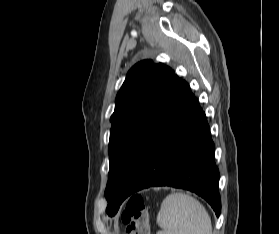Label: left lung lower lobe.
Masks as SVG:
<instances>
[{
	"label": "left lung lower lobe",
	"instance_id": "0a47b994",
	"mask_svg": "<svg viewBox=\"0 0 279 234\" xmlns=\"http://www.w3.org/2000/svg\"><path fill=\"white\" fill-rule=\"evenodd\" d=\"M209 125L188 84L173 77L138 148L120 199L151 186L187 189L221 211Z\"/></svg>",
	"mask_w": 279,
	"mask_h": 234
}]
</instances>
